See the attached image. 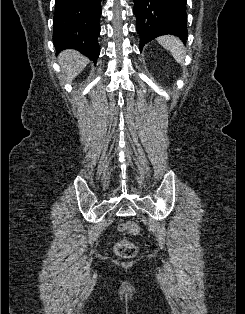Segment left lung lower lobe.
Masks as SVG:
<instances>
[{"label":"left lung lower lobe","mask_w":245,"mask_h":314,"mask_svg":"<svg viewBox=\"0 0 245 314\" xmlns=\"http://www.w3.org/2000/svg\"><path fill=\"white\" fill-rule=\"evenodd\" d=\"M140 49L150 40L165 34L187 38L186 0H134Z\"/></svg>","instance_id":"obj_1"}]
</instances>
